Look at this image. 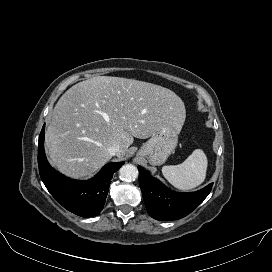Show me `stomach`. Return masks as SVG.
<instances>
[{
    "label": "stomach",
    "mask_w": 272,
    "mask_h": 272,
    "mask_svg": "<svg viewBox=\"0 0 272 272\" xmlns=\"http://www.w3.org/2000/svg\"><path fill=\"white\" fill-rule=\"evenodd\" d=\"M179 132L172 124L163 126L143 144L137 155L152 165H162L175 150Z\"/></svg>",
    "instance_id": "obj_1"
}]
</instances>
